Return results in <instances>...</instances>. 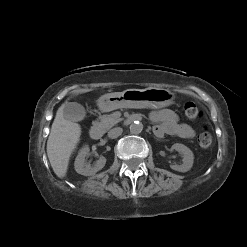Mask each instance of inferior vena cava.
I'll return each mask as SVG.
<instances>
[{"label":"inferior vena cava","instance_id":"inferior-vena-cava-1","mask_svg":"<svg viewBox=\"0 0 247 247\" xmlns=\"http://www.w3.org/2000/svg\"><path fill=\"white\" fill-rule=\"evenodd\" d=\"M122 132H123V129L120 127L113 128L108 132V137L111 139H115L118 136H120Z\"/></svg>","mask_w":247,"mask_h":247}]
</instances>
